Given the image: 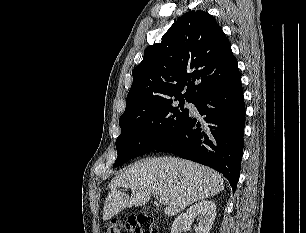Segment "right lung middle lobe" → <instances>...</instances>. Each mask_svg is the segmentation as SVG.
Returning a JSON list of instances; mask_svg holds the SVG:
<instances>
[{"instance_id": "right-lung-middle-lobe-1", "label": "right lung middle lobe", "mask_w": 306, "mask_h": 233, "mask_svg": "<svg viewBox=\"0 0 306 233\" xmlns=\"http://www.w3.org/2000/svg\"><path fill=\"white\" fill-rule=\"evenodd\" d=\"M175 100L179 104L173 99L162 100L120 117L121 135L116 140L118 157L114 167L153 150L182 125L189 110L184 108L183 98Z\"/></svg>"}]
</instances>
